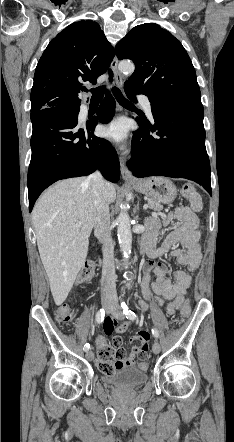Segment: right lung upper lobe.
Segmentation results:
<instances>
[{
  "label": "right lung upper lobe",
  "instance_id": "cb5924a9",
  "mask_svg": "<svg viewBox=\"0 0 234 442\" xmlns=\"http://www.w3.org/2000/svg\"><path fill=\"white\" fill-rule=\"evenodd\" d=\"M114 57V49L98 23L75 22L61 31L43 52L34 74L31 112L78 106L83 82L96 84Z\"/></svg>",
  "mask_w": 234,
  "mask_h": 442
}]
</instances>
